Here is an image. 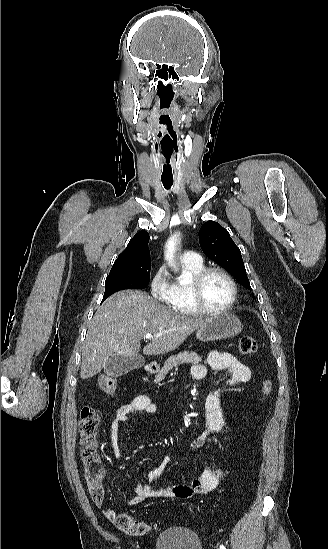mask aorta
Wrapping results in <instances>:
<instances>
[{"label":"aorta","instance_id":"aorta-1","mask_svg":"<svg viewBox=\"0 0 328 549\" xmlns=\"http://www.w3.org/2000/svg\"><path fill=\"white\" fill-rule=\"evenodd\" d=\"M174 245H175V238H172L169 242V252L170 253H173Z\"/></svg>","mask_w":328,"mask_h":549}]
</instances>
